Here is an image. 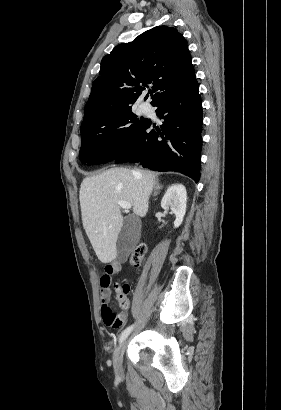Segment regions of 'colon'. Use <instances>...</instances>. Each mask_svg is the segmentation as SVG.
Masks as SVG:
<instances>
[{
	"label": "colon",
	"mask_w": 281,
	"mask_h": 410,
	"mask_svg": "<svg viewBox=\"0 0 281 410\" xmlns=\"http://www.w3.org/2000/svg\"><path fill=\"white\" fill-rule=\"evenodd\" d=\"M146 252L147 247L145 244H139L138 246H136L130 255V264L134 267L140 266L142 261L144 260ZM114 287L121 308H127L129 304L127 298L130 290L129 285L125 283H117L114 285ZM103 319L106 325L114 328L119 327L122 323L121 315L116 314L110 307L105 310Z\"/></svg>",
	"instance_id": "1"
}]
</instances>
